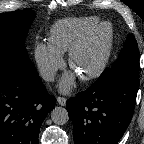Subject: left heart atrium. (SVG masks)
<instances>
[{"label": "left heart atrium", "mask_w": 144, "mask_h": 144, "mask_svg": "<svg viewBox=\"0 0 144 144\" xmlns=\"http://www.w3.org/2000/svg\"><path fill=\"white\" fill-rule=\"evenodd\" d=\"M75 78L76 77L73 72L64 75L59 83L60 90L64 93L69 92L75 83Z\"/></svg>", "instance_id": "obj_1"}]
</instances>
